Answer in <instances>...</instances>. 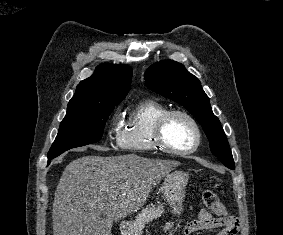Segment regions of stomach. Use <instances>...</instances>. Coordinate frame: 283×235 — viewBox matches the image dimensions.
Wrapping results in <instances>:
<instances>
[{
  "instance_id": "0dacf381",
  "label": "stomach",
  "mask_w": 283,
  "mask_h": 235,
  "mask_svg": "<svg viewBox=\"0 0 283 235\" xmlns=\"http://www.w3.org/2000/svg\"><path fill=\"white\" fill-rule=\"evenodd\" d=\"M188 184V175L183 171H173L166 174L161 185V191L171 206L174 214H180L183 210L185 190ZM122 235H139V231L132 222H126L121 226Z\"/></svg>"
}]
</instances>
